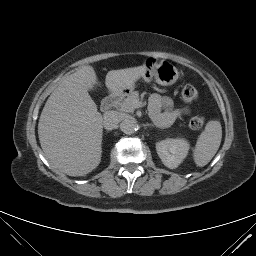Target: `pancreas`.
<instances>
[{"instance_id": "1", "label": "pancreas", "mask_w": 256, "mask_h": 256, "mask_svg": "<svg viewBox=\"0 0 256 256\" xmlns=\"http://www.w3.org/2000/svg\"><path fill=\"white\" fill-rule=\"evenodd\" d=\"M139 102V93L131 92L124 100L116 105V109L120 112L133 113Z\"/></svg>"}]
</instances>
